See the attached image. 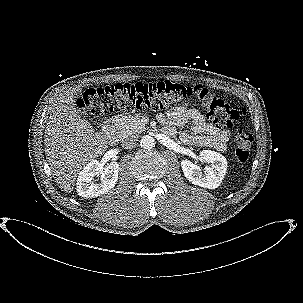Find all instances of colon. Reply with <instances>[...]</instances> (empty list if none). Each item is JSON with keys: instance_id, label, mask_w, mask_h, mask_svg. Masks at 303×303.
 I'll return each mask as SVG.
<instances>
[{"instance_id": "5ec220e1", "label": "colon", "mask_w": 303, "mask_h": 303, "mask_svg": "<svg viewBox=\"0 0 303 303\" xmlns=\"http://www.w3.org/2000/svg\"><path fill=\"white\" fill-rule=\"evenodd\" d=\"M189 98L198 99L215 123L233 125L243 117V111L213 96L203 86H185L170 81L117 83L90 88L78 98L79 108L90 118L128 110H163ZM252 135L238 130L234 137V156L238 163L247 161Z\"/></svg>"}]
</instances>
